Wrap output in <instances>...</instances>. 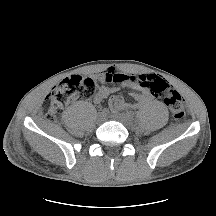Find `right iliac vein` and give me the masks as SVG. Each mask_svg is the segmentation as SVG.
I'll use <instances>...</instances> for the list:
<instances>
[{"mask_svg": "<svg viewBox=\"0 0 216 216\" xmlns=\"http://www.w3.org/2000/svg\"><path fill=\"white\" fill-rule=\"evenodd\" d=\"M106 115H103L102 113H99L97 115V123L101 124L105 121Z\"/></svg>", "mask_w": 216, "mask_h": 216, "instance_id": "right-iliac-vein-1", "label": "right iliac vein"}]
</instances>
